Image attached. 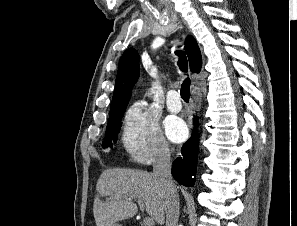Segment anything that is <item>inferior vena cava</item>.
Wrapping results in <instances>:
<instances>
[{
    "label": "inferior vena cava",
    "instance_id": "602c4592",
    "mask_svg": "<svg viewBox=\"0 0 297 226\" xmlns=\"http://www.w3.org/2000/svg\"><path fill=\"white\" fill-rule=\"evenodd\" d=\"M171 153L167 145L157 152L153 164V176L164 190L166 226H178L179 195L171 175Z\"/></svg>",
    "mask_w": 297,
    "mask_h": 226
}]
</instances>
